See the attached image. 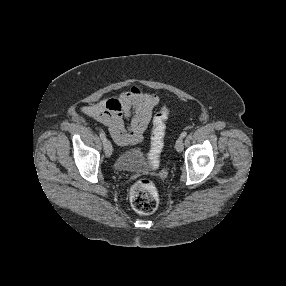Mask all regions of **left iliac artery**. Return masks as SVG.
<instances>
[{
    "instance_id": "1",
    "label": "left iliac artery",
    "mask_w": 286,
    "mask_h": 286,
    "mask_svg": "<svg viewBox=\"0 0 286 286\" xmlns=\"http://www.w3.org/2000/svg\"><path fill=\"white\" fill-rule=\"evenodd\" d=\"M187 136V132H182L180 137L185 138Z\"/></svg>"
}]
</instances>
